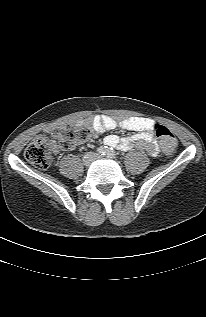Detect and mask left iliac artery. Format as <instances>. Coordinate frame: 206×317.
<instances>
[{"label": "left iliac artery", "instance_id": "left-iliac-artery-1", "mask_svg": "<svg viewBox=\"0 0 206 317\" xmlns=\"http://www.w3.org/2000/svg\"><path fill=\"white\" fill-rule=\"evenodd\" d=\"M107 157H109V158H116L115 151H114L112 148H109V149L107 150Z\"/></svg>", "mask_w": 206, "mask_h": 317}]
</instances>
